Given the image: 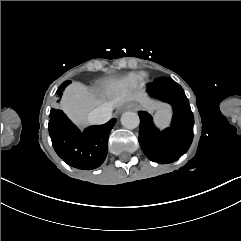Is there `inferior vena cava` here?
Wrapping results in <instances>:
<instances>
[{
    "label": "inferior vena cava",
    "mask_w": 241,
    "mask_h": 241,
    "mask_svg": "<svg viewBox=\"0 0 241 241\" xmlns=\"http://www.w3.org/2000/svg\"><path fill=\"white\" fill-rule=\"evenodd\" d=\"M113 106L111 103H104L88 114V121L91 124H104L112 117Z\"/></svg>",
    "instance_id": "602c4592"
}]
</instances>
